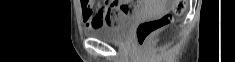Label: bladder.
Returning <instances> with one entry per match:
<instances>
[{"instance_id":"31cf9c89","label":"bladder","mask_w":235,"mask_h":62,"mask_svg":"<svg viewBox=\"0 0 235 62\" xmlns=\"http://www.w3.org/2000/svg\"><path fill=\"white\" fill-rule=\"evenodd\" d=\"M134 19L135 14H122L115 25L89 29L87 35L108 43H120L127 37Z\"/></svg>"}]
</instances>
